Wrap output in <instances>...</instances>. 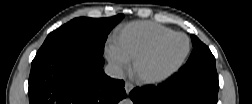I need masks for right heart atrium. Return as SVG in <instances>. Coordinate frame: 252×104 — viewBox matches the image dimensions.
I'll list each match as a JSON object with an SVG mask.
<instances>
[{
	"label": "right heart atrium",
	"mask_w": 252,
	"mask_h": 104,
	"mask_svg": "<svg viewBox=\"0 0 252 104\" xmlns=\"http://www.w3.org/2000/svg\"><path fill=\"white\" fill-rule=\"evenodd\" d=\"M107 56L118 71L123 72L129 68V61L119 53L114 43L108 45Z\"/></svg>",
	"instance_id": "right-heart-atrium-1"
}]
</instances>
